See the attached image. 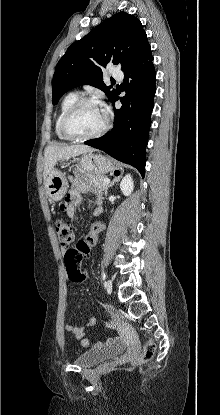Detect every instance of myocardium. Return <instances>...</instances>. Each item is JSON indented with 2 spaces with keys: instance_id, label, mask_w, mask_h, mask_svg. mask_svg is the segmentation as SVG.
Here are the masks:
<instances>
[{
  "instance_id": "f54148a6",
  "label": "myocardium",
  "mask_w": 220,
  "mask_h": 415,
  "mask_svg": "<svg viewBox=\"0 0 220 415\" xmlns=\"http://www.w3.org/2000/svg\"><path fill=\"white\" fill-rule=\"evenodd\" d=\"M86 105H97L101 109H103L101 102L97 99H94V98H81L78 101H76L71 107H69L67 109V111L64 113V115L61 119L60 129H61V132L63 133V135L66 136L70 140L88 141V140L97 139V138L101 137L102 135H104L105 132L109 128V118H108L107 114L104 112L105 121H104V124H103V126L101 127V129L99 131H97L94 134L87 135V136H81V135L74 134L69 128L70 120L82 107H84Z\"/></svg>"
}]
</instances>
